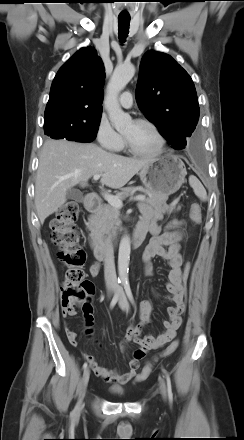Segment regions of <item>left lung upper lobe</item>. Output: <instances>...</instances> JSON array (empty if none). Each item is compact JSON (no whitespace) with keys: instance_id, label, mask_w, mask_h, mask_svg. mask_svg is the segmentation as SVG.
Wrapping results in <instances>:
<instances>
[{"instance_id":"left-lung-upper-lobe-1","label":"left lung upper lobe","mask_w":244,"mask_h":440,"mask_svg":"<svg viewBox=\"0 0 244 440\" xmlns=\"http://www.w3.org/2000/svg\"><path fill=\"white\" fill-rule=\"evenodd\" d=\"M136 100L172 148L187 145L199 119V104L191 77L171 56L156 51L143 56Z\"/></svg>"}]
</instances>
